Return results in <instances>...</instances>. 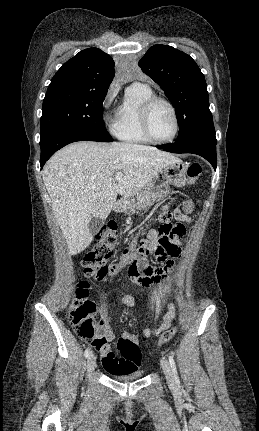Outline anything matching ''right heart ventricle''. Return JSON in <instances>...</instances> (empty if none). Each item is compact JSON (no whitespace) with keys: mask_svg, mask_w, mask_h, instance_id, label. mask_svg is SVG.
Wrapping results in <instances>:
<instances>
[{"mask_svg":"<svg viewBox=\"0 0 259 431\" xmlns=\"http://www.w3.org/2000/svg\"><path fill=\"white\" fill-rule=\"evenodd\" d=\"M153 95L150 88L138 84H133L126 90L114 126V134L118 139L133 144L151 143L142 130L140 110L143 103Z\"/></svg>","mask_w":259,"mask_h":431,"instance_id":"obj_1","label":"right heart ventricle"}]
</instances>
